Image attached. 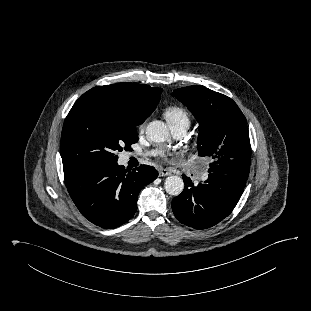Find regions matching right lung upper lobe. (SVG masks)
Masks as SVG:
<instances>
[{
	"label": "right lung upper lobe",
	"instance_id": "1",
	"mask_svg": "<svg viewBox=\"0 0 311 311\" xmlns=\"http://www.w3.org/2000/svg\"><path fill=\"white\" fill-rule=\"evenodd\" d=\"M89 91H105L114 94L129 103L134 109L135 117L144 122L156 108L162 89L135 83H117L97 86Z\"/></svg>",
	"mask_w": 311,
	"mask_h": 311
}]
</instances>
